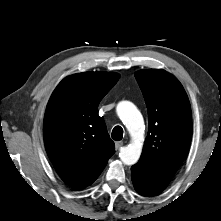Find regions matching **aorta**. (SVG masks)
I'll use <instances>...</instances> for the list:
<instances>
[{
	"instance_id": "aorta-1",
	"label": "aorta",
	"mask_w": 221,
	"mask_h": 221,
	"mask_svg": "<svg viewBox=\"0 0 221 221\" xmlns=\"http://www.w3.org/2000/svg\"><path fill=\"white\" fill-rule=\"evenodd\" d=\"M117 113L132 137V143L120 149V159L125 165H133L139 160L142 151L143 117L135 105L128 101L118 104Z\"/></svg>"
}]
</instances>
